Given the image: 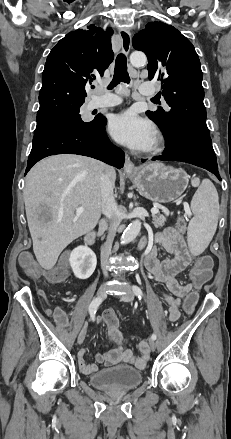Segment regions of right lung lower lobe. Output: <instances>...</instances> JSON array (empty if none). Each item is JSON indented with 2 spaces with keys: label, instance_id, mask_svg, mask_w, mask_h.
Wrapping results in <instances>:
<instances>
[{
  "label": "right lung lower lobe",
  "instance_id": "98d812e1",
  "mask_svg": "<svg viewBox=\"0 0 231 439\" xmlns=\"http://www.w3.org/2000/svg\"><path fill=\"white\" fill-rule=\"evenodd\" d=\"M106 123L104 117H98L96 124L87 129L59 127L34 134L26 173L39 160L56 154L84 155L123 167L124 152L109 141Z\"/></svg>",
  "mask_w": 231,
  "mask_h": 439
}]
</instances>
